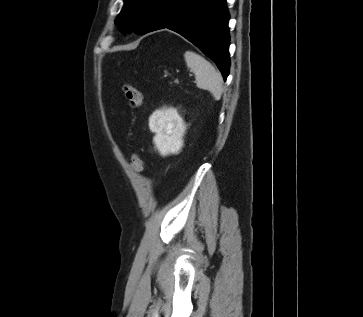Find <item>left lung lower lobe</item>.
I'll return each mask as SVG.
<instances>
[{
  "label": "left lung lower lobe",
  "mask_w": 363,
  "mask_h": 317,
  "mask_svg": "<svg viewBox=\"0 0 363 317\" xmlns=\"http://www.w3.org/2000/svg\"><path fill=\"white\" fill-rule=\"evenodd\" d=\"M229 14L226 0H160L144 33L168 28L198 46L229 74Z\"/></svg>",
  "instance_id": "obj_1"
}]
</instances>
